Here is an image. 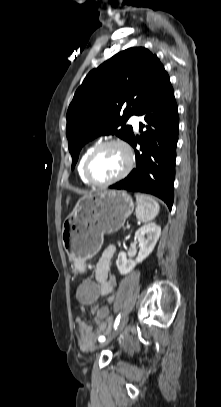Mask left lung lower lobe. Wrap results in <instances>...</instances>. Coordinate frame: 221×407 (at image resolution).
<instances>
[{
    "label": "left lung lower lobe",
    "mask_w": 221,
    "mask_h": 407,
    "mask_svg": "<svg viewBox=\"0 0 221 407\" xmlns=\"http://www.w3.org/2000/svg\"><path fill=\"white\" fill-rule=\"evenodd\" d=\"M143 116L147 130L141 139L133 136L129 142L135 151L136 166L123 180L111 185L110 189H124L155 195L162 199L169 209L173 205V183L175 177L176 145L178 141V107L174 91L167 75L160 82L152 98L138 114Z\"/></svg>",
    "instance_id": "obj_1"
}]
</instances>
